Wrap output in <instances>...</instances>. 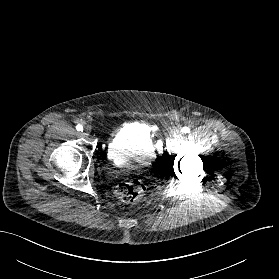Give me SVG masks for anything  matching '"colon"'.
<instances>
[{"mask_svg":"<svg viewBox=\"0 0 279 279\" xmlns=\"http://www.w3.org/2000/svg\"><path fill=\"white\" fill-rule=\"evenodd\" d=\"M146 192V185L137 178L127 179L121 182L115 190L118 199L126 203L140 200Z\"/></svg>","mask_w":279,"mask_h":279,"instance_id":"obj_1","label":"colon"}]
</instances>
